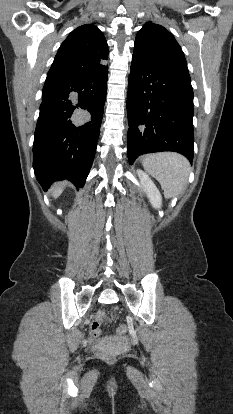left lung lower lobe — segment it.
<instances>
[{
  "mask_svg": "<svg viewBox=\"0 0 233 414\" xmlns=\"http://www.w3.org/2000/svg\"><path fill=\"white\" fill-rule=\"evenodd\" d=\"M193 90L189 74L152 66L132 57L129 77L128 160L174 151L193 160Z\"/></svg>",
  "mask_w": 233,
  "mask_h": 414,
  "instance_id": "obj_1",
  "label": "left lung lower lobe"
}]
</instances>
